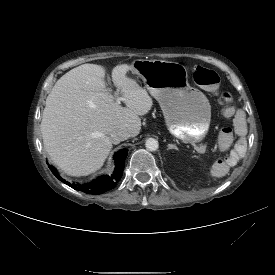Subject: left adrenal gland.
<instances>
[{"label": "left adrenal gland", "mask_w": 275, "mask_h": 275, "mask_svg": "<svg viewBox=\"0 0 275 275\" xmlns=\"http://www.w3.org/2000/svg\"><path fill=\"white\" fill-rule=\"evenodd\" d=\"M168 149H176V150H178L177 146H175L173 144H168Z\"/></svg>", "instance_id": "left-adrenal-gland-1"}]
</instances>
